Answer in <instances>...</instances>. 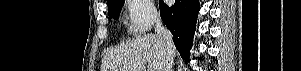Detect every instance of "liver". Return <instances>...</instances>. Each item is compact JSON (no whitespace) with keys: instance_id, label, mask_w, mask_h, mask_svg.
<instances>
[{"instance_id":"obj_1","label":"liver","mask_w":301,"mask_h":71,"mask_svg":"<svg viewBox=\"0 0 301 71\" xmlns=\"http://www.w3.org/2000/svg\"><path fill=\"white\" fill-rule=\"evenodd\" d=\"M175 54L174 47L173 56ZM162 61L161 38L157 34L139 35L108 51L101 71H161Z\"/></svg>"}]
</instances>
